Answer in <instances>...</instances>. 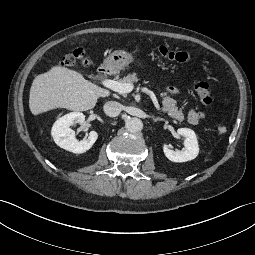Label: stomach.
<instances>
[{
	"label": "stomach",
	"instance_id": "stomach-1",
	"mask_svg": "<svg viewBox=\"0 0 255 255\" xmlns=\"http://www.w3.org/2000/svg\"><path fill=\"white\" fill-rule=\"evenodd\" d=\"M133 53L125 50H117L112 52L104 61L107 69L112 72H118L133 62Z\"/></svg>",
	"mask_w": 255,
	"mask_h": 255
}]
</instances>
